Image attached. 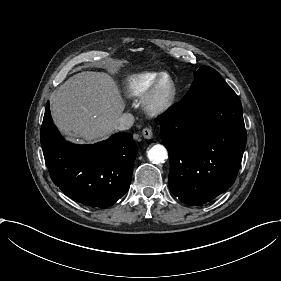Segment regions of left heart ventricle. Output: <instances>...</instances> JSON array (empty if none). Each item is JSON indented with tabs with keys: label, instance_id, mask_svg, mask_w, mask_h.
<instances>
[{
	"label": "left heart ventricle",
	"instance_id": "left-heart-ventricle-1",
	"mask_svg": "<svg viewBox=\"0 0 281 281\" xmlns=\"http://www.w3.org/2000/svg\"><path fill=\"white\" fill-rule=\"evenodd\" d=\"M169 88H170L169 82H168V81H165V82L161 85V87H160V89H159V94H160V95H165V94L168 92Z\"/></svg>",
	"mask_w": 281,
	"mask_h": 281
}]
</instances>
